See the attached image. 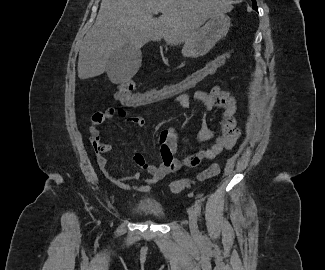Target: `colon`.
<instances>
[{
  "mask_svg": "<svg viewBox=\"0 0 325 270\" xmlns=\"http://www.w3.org/2000/svg\"><path fill=\"white\" fill-rule=\"evenodd\" d=\"M230 57V52L223 53L214 59L208 61L199 69L185 76L178 82L164 85L157 88L148 89L142 92H135V84L130 80L122 81L117 86L116 99L123 105L130 107H143L158 104L161 102L175 100L188 91L194 89L207 77L215 74ZM220 171L217 164L211 165L206 170L200 172L195 180L204 181L216 176ZM193 180L180 179L171 183L170 189L173 193H179L185 188H188L193 183Z\"/></svg>",
  "mask_w": 325,
  "mask_h": 270,
  "instance_id": "colon-1",
  "label": "colon"
}]
</instances>
